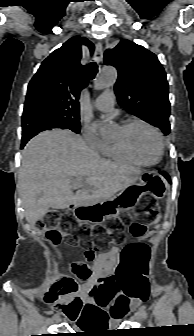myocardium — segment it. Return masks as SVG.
I'll return each instance as SVG.
<instances>
[{"label": "myocardium", "mask_w": 194, "mask_h": 336, "mask_svg": "<svg viewBox=\"0 0 194 336\" xmlns=\"http://www.w3.org/2000/svg\"><path fill=\"white\" fill-rule=\"evenodd\" d=\"M135 125L145 126L155 134V136L158 140V143H159L158 158L155 161H152V162L143 161L133 152V150L130 148V146L127 144L126 141L121 140V141L116 142V144L123 150L124 153H126L130 158H132L137 163H139L141 165H144V166H155V165H157L162 160V157L164 155V141H163V137H162L161 133L159 132V130L154 125L150 124L147 121L141 120V119L127 120L121 126V129L126 131V130L130 129L131 127L135 126Z\"/></svg>", "instance_id": "f54148a6"}]
</instances>
